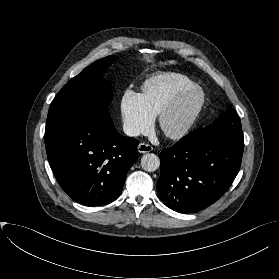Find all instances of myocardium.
Returning <instances> with one entry per match:
<instances>
[{"label":"myocardium","instance_id":"f54148a6","mask_svg":"<svg viewBox=\"0 0 279 279\" xmlns=\"http://www.w3.org/2000/svg\"><path fill=\"white\" fill-rule=\"evenodd\" d=\"M198 95V101L186 122L176 130L165 128L166 121L192 96ZM206 95L204 90L199 87L190 88L178 95L170 104H168L158 115V128L163 134L171 140H180L187 136L195 126L198 118L205 106Z\"/></svg>","mask_w":279,"mask_h":279}]
</instances>
